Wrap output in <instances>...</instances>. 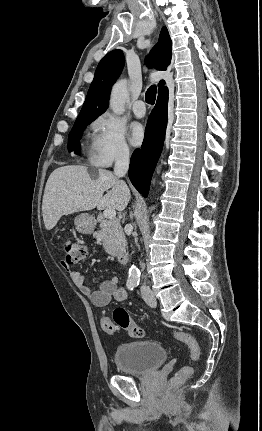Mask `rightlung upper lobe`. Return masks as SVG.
Returning a JSON list of instances; mask_svg holds the SVG:
<instances>
[{"label":"right lung upper lobe","instance_id":"cb5924a9","mask_svg":"<svg viewBox=\"0 0 262 431\" xmlns=\"http://www.w3.org/2000/svg\"><path fill=\"white\" fill-rule=\"evenodd\" d=\"M172 43L166 27L161 30L159 42L152 49L147 64L159 70H166L171 62ZM124 55L121 50H113L99 62L94 79L90 85L86 100L78 118H97L108 108L111 86L117 80L124 67ZM164 81L159 83V93L166 90Z\"/></svg>","mask_w":262,"mask_h":431}]
</instances>
